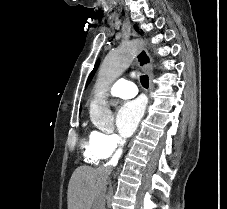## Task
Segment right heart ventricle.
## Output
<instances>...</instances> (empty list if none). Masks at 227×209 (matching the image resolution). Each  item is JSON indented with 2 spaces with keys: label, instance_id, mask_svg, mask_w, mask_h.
<instances>
[{
  "label": "right heart ventricle",
  "instance_id": "1",
  "mask_svg": "<svg viewBox=\"0 0 227 209\" xmlns=\"http://www.w3.org/2000/svg\"><path fill=\"white\" fill-rule=\"evenodd\" d=\"M99 138V132L92 131L82 146L84 160L91 165H99L109 157L100 145Z\"/></svg>",
  "mask_w": 227,
  "mask_h": 209
}]
</instances>
